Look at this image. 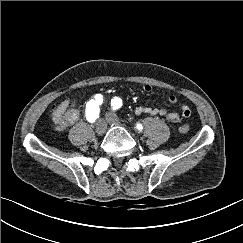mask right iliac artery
Instances as JSON below:
<instances>
[{
    "mask_svg": "<svg viewBox=\"0 0 243 243\" xmlns=\"http://www.w3.org/2000/svg\"><path fill=\"white\" fill-rule=\"evenodd\" d=\"M103 98L101 94H97L94 99L90 100L86 106V118L90 123L95 122L99 118V105L102 103Z\"/></svg>",
    "mask_w": 243,
    "mask_h": 243,
    "instance_id": "obj_1",
    "label": "right iliac artery"
}]
</instances>
